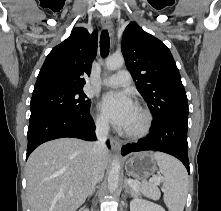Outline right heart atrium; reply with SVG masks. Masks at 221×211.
I'll return each instance as SVG.
<instances>
[{"instance_id":"obj_1","label":"right heart atrium","mask_w":221,"mask_h":211,"mask_svg":"<svg viewBox=\"0 0 221 211\" xmlns=\"http://www.w3.org/2000/svg\"><path fill=\"white\" fill-rule=\"evenodd\" d=\"M95 124L98 129L105 130L108 127L106 119L102 115H97Z\"/></svg>"}]
</instances>
